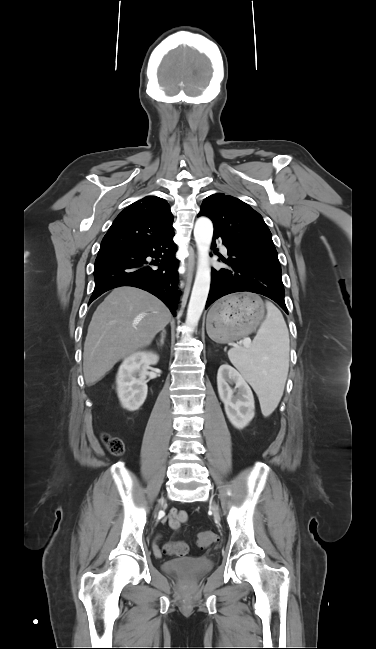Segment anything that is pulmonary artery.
Wrapping results in <instances>:
<instances>
[{
    "label": "pulmonary artery",
    "instance_id": "pulmonary-artery-1",
    "mask_svg": "<svg viewBox=\"0 0 376 649\" xmlns=\"http://www.w3.org/2000/svg\"><path fill=\"white\" fill-rule=\"evenodd\" d=\"M221 250H222L224 253H227V249H226L224 246H221Z\"/></svg>",
    "mask_w": 376,
    "mask_h": 649
}]
</instances>
